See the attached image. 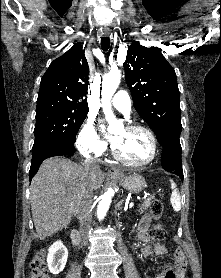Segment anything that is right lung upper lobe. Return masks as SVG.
Wrapping results in <instances>:
<instances>
[{"instance_id": "obj_1", "label": "right lung upper lobe", "mask_w": 221, "mask_h": 278, "mask_svg": "<svg viewBox=\"0 0 221 278\" xmlns=\"http://www.w3.org/2000/svg\"><path fill=\"white\" fill-rule=\"evenodd\" d=\"M89 67L80 44L54 60L41 79L37 109L44 107L88 111Z\"/></svg>"}]
</instances>
